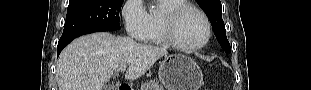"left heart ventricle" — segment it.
<instances>
[{"instance_id":"1","label":"left heart ventricle","mask_w":311,"mask_h":90,"mask_svg":"<svg viewBox=\"0 0 311 90\" xmlns=\"http://www.w3.org/2000/svg\"><path fill=\"white\" fill-rule=\"evenodd\" d=\"M176 34L183 45L193 46L199 44L206 35L204 21L197 13L188 11L181 17Z\"/></svg>"}]
</instances>
